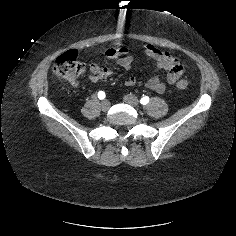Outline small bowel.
I'll use <instances>...</instances> for the list:
<instances>
[{"label": "small bowel", "instance_id": "small-bowel-1", "mask_svg": "<svg viewBox=\"0 0 236 236\" xmlns=\"http://www.w3.org/2000/svg\"><path fill=\"white\" fill-rule=\"evenodd\" d=\"M140 51L150 60H154L158 67L165 71V81L168 84H174L183 75L185 68L170 52L161 50L152 44H144L140 47ZM103 54L114 60L118 66L126 71L133 69L135 56L129 54V50L125 46L109 47L103 50ZM114 74L113 69L109 67H101L96 62L89 64L88 78L93 83L106 81ZM127 86L142 85L156 93H163L166 84L159 76H154L146 80H141L137 76L129 77L126 80Z\"/></svg>", "mask_w": 236, "mask_h": 236}]
</instances>
